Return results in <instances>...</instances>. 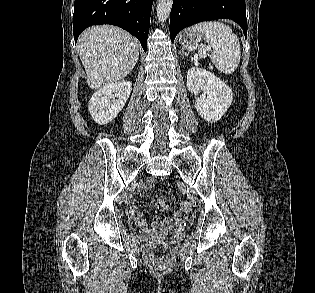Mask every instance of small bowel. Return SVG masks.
Segmentation results:
<instances>
[{
    "instance_id": "1",
    "label": "small bowel",
    "mask_w": 315,
    "mask_h": 293,
    "mask_svg": "<svg viewBox=\"0 0 315 293\" xmlns=\"http://www.w3.org/2000/svg\"><path fill=\"white\" fill-rule=\"evenodd\" d=\"M153 184H154V181L152 179L150 180H147L143 186H142V189L143 190H150L152 187H153ZM159 205H160V208L162 210H169L170 207L163 201V200H160L159 201ZM128 211H129V214L131 216V218L140 226L142 227H145L146 226V221L144 219V217L142 216V214L140 213L139 209H138V205H137V201L136 200H132L129 204V207H128ZM186 216V213L185 211H176L175 213V219L176 220H181L182 218H185ZM171 220L169 218H164V219H161L159 217H156L154 218L153 220V225L154 227L158 228L160 227L161 225H163L164 223H168L170 222Z\"/></svg>"
}]
</instances>
